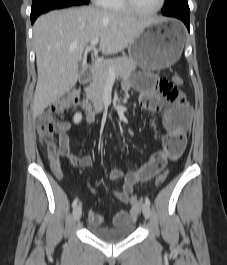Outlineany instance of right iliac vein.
Returning a JSON list of instances; mask_svg holds the SVG:
<instances>
[{
	"instance_id": "right-iliac-vein-1",
	"label": "right iliac vein",
	"mask_w": 227,
	"mask_h": 265,
	"mask_svg": "<svg viewBox=\"0 0 227 265\" xmlns=\"http://www.w3.org/2000/svg\"><path fill=\"white\" fill-rule=\"evenodd\" d=\"M82 215V206L78 204L73 210V218L75 221H79Z\"/></svg>"
}]
</instances>
